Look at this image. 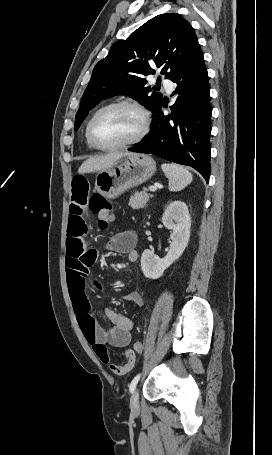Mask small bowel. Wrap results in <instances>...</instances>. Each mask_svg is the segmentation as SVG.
<instances>
[{"label":"small bowel","mask_w":272,"mask_h":455,"mask_svg":"<svg viewBox=\"0 0 272 455\" xmlns=\"http://www.w3.org/2000/svg\"><path fill=\"white\" fill-rule=\"evenodd\" d=\"M89 192L90 183L87 177L83 174H76L71 182V202L66 240L68 288L74 313L86 341L102 363L109 365L114 374L122 376L134 368L135 353L131 349H125L123 355L127 362L124 365L112 364L108 346L126 348L132 339L133 323L126 315L106 308L104 314L112 325L108 329L102 328L91 313L86 293L89 271L97 260L96 250L90 248L85 240L88 231L86 212ZM136 245L137 236L135 232L126 230L111 237L106 248L119 254H125L128 261L136 262L139 257ZM123 298L137 306L143 305V295L138 290L129 291Z\"/></svg>","instance_id":"small-bowel-1"}]
</instances>
